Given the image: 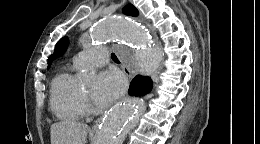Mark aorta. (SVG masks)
Here are the masks:
<instances>
[{"instance_id": "obj_1", "label": "aorta", "mask_w": 260, "mask_h": 144, "mask_svg": "<svg viewBox=\"0 0 260 144\" xmlns=\"http://www.w3.org/2000/svg\"><path fill=\"white\" fill-rule=\"evenodd\" d=\"M118 41L129 46L120 53L121 59L129 65H136L141 71L152 73L159 67L158 46L152 41L147 30L131 18H109L96 24L94 29L84 36L83 46L93 42ZM134 50L150 53V57L137 58ZM80 78L93 83L95 72L85 70ZM145 103L141 98L126 99L111 109L103 118L96 134L95 144H123L128 132L140 122Z\"/></svg>"}]
</instances>
